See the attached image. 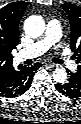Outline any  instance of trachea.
Instances as JSON below:
<instances>
[{
	"instance_id": "3493384b",
	"label": "trachea",
	"mask_w": 81,
	"mask_h": 124,
	"mask_svg": "<svg viewBox=\"0 0 81 124\" xmlns=\"http://www.w3.org/2000/svg\"><path fill=\"white\" fill-rule=\"evenodd\" d=\"M53 62L58 63V64H63V61L61 59H58V58H54Z\"/></svg>"
}]
</instances>
